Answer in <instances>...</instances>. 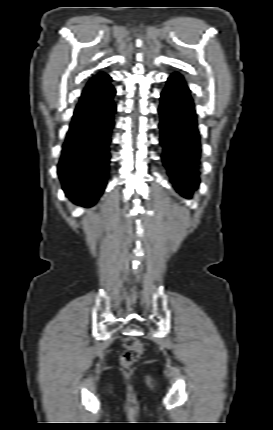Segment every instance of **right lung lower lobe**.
Returning a JSON list of instances; mask_svg holds the SVG:
<instances>
[{"label": "right lung lower lobe", "instance_id": "right-lung-lower-lobe-1", "mask_svg": "<svg viewBox=\"0 0 273 430\" xmlns=\"http://www.w3.org/2000/svg\"><path fill=\"white\" fill-rule=\"evenodd\" d=\"M110 81L105 75L88 82L75 108L58 164L66 196L85 206L96 204L107 183L116 111V91Z\"/></svg>", "mask_w": 273, "mask_h": 430}]
</instances>
